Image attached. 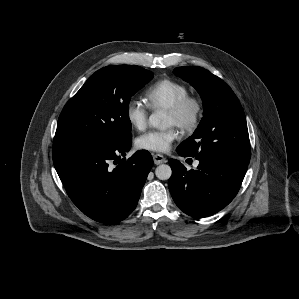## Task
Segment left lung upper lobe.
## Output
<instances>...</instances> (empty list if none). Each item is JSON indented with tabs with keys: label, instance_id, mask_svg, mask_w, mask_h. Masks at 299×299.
Listing matches in <instances>:
<instances>
[{
	"label": "left lung upper lobe",
	"instance_id": "obj_1",
	"mask_svg": "<svg viewBox=\"0 0 299 299\" xmlns=\"http://www.w3.org/2000/svg\"><path fill=\"white\" fill-rule=\"evenodd\" d=\"M174 74L200 94L204 116L178 150L198 160H220L248 165L250 141L243 108L231 88L201 67H178Z\"/></svg>",
	"mask_w": 299,
	"mask_h": 299
}]
</instances>
